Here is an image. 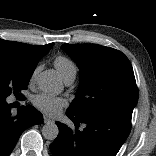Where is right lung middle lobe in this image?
Masks as SVG:
<instances>
[{
	"instance_id": "1",
	"label": "right lung middle lobe",
	"mask_w": 156,
	"mask_h": 156,
	"mask_svg": "<svg viewBox=\"0 0 156 156\" xmlns=\"http://www.w3.org/2000/svg\"><path fill=\"white\" fill-rule=\"evenodd\" d=\"M34 69L24 68L14 60L0 55V96L18 95L27 89Z\"/></svg>"
}]
</instances>
